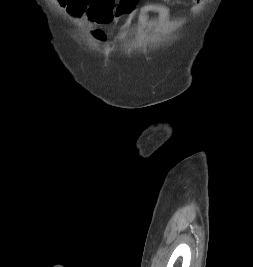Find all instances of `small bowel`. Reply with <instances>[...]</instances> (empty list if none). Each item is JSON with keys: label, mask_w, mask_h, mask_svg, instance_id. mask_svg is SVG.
Instances as JSON below:
<instances>
[{"label": "small bowel", "mask_w": 253, "mask_h": 267, "mask_svg": "<svg viewBox=\"0 0 253 267\" xmlns=\"http://www.w3.org/2000/svg\"><path fill=\"white\" fill-rule=\"evenodd\" d=\"M169 1V0H164ZM193 11H199L204 0H191ZM69 14L73 16L85 15L90 21L98 25L110 24L123 19L113 40L119 41L126 34L133 20L138 18L139 32L142 33L151 14H156L162 23L168 24L169 9L160 3L140 4V0H68L64 4Z\"/></svg>", "instance_id": "1"}]
</instances>
